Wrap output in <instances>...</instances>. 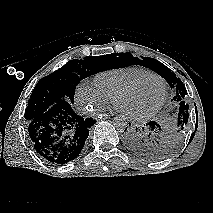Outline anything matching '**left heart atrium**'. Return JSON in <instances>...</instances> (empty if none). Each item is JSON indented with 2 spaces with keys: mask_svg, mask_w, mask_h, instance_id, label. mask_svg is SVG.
I'll return each instance as SVG.
<instances>
[{
  "mask_svg": "<svg viewBox=\"0 0 213 213\" xmlns=\"http://www.w3.org/2000/svg\"><path fill=\"white\" fill-rule=\"evenodd\" d=\"M117 108H118L121 112H123V110H122L119 106H117Z\"/></svg>",
  "mask_w": 213,
  "mask_h": 213,
  "instance_id": "39dd6f15",
  "label": "left heart atrium"
}]
</instances>
